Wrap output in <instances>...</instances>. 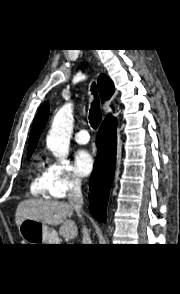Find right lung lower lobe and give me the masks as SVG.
<instances>
[{"label": "right lung lower lobe", "instance_id": "obj_1", "mask_svg": "<svg viewBox=\"0 0 180 294\" xmlns=\"http://www.w3.org/2000/svg\"><path fill=\"white\" fill-rule=\"evenodd\" d=\"M97 158L90 177V207L92 215L99 221L106 220V205L113 182L116 161V121L111 114L101 124L97 137Z\"/></svg>", "mask_w": 180, "mask_h": 294}]
</instances>
